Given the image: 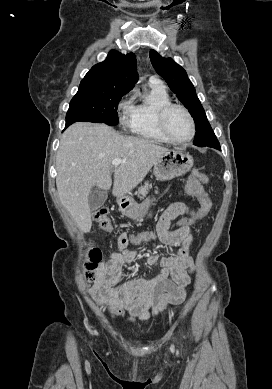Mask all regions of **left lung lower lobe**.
Instances as JSON below:
<instances>
[{"label":"left lung lower lobe","instance_id":"1","mask_svg":"<svg viewBox=\"0 0 272 389\" xmlns=\"http://www.w3.org/2000/svg\"><path fill=\"white\" fill-rule=\"evenodd\" d=\"M207 146H208V147H213V148L218 149V150H221L220 144H219L217 138L214 139V140H213L210 144H208Z\"/></svg>","mask_w":272,"mask_h":389}]
</instances>
